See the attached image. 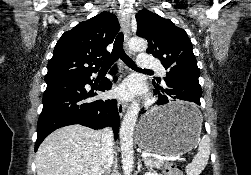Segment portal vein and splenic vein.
Wrapping results in <instances>:
<instances>
[{
  "label": "portal vein and splenic vein",
  "instance_id": "1",
  "mask_svg": "<svg viewBox=\"0 0 251 175\" xmlns=\"http://www.w3.org/2000/svg\"><path fill=\"white\" fill-rule=\"evenodd\" d=\"M142 157L149 158H162L163 160H170L171 162H179L181 159L180 155H171L168 153H141ZM83 175H88V173H83Z\"/></svg>",
  "mask_w": 251,
  "mask_h": 175
}]
</instances>
